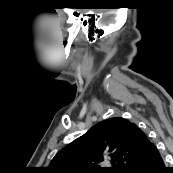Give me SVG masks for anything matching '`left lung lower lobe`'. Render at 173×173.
<instances>
[{"instance_id":"obj_1","label":"left lung lower lobe","mask_w":173,"mask_h":173,"mask_svg":"<svg viewBox=\"0 0 173 173\" xmlns=\"http://www.w3.org/2000/svg\"><path fill=\"white\" fill-rule=\"evenodd\" d=\"M148 139V138H147ZM163 158L149 139L147 148L138 156L133 167L128 173H167Z\"/></svg>"}]
</instances>
